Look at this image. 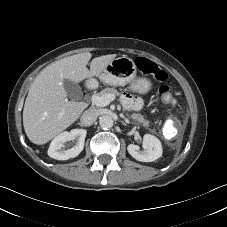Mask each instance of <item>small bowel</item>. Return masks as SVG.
Returning a JSON list of instances; mask_svg holds the SVG:
<instances>
[{"instance_id":"1","label":"small bowel","mask_w":227,"mask_h":227,"mask_svg":"<svg viewBox=\"0 0 227 227\" xmlns=\"http://www.w3.org/2000/svg\"><path fill=\"white\" fill-rule=\"evenodd\" d=\"M122 102L129 109H137L140 106V101L137 98L127 94L123 95Z\"/></svg>"}]
</instances>
